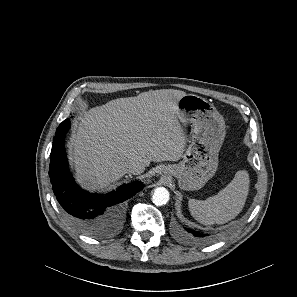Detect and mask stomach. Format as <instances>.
<instances>
[{
  "mask_svg": "<svg viewBox=\"0 0 297 297\" xmlns=\"http://www.w3.org/2000/svg\"><path fill=\"white\" fill-rule=\"evenodd\" d=\"M177 118L183 125L192 124L190 142L182 160L168 165L164 173L177 178L181 189L198 190L217 171L225 122L213 104L195 94H186L178 100Z\"/></svg>",
  "mask_w": 297,
  "mask_h": 297,
  "instance_id": "obj_1",
  "label": "stomach"
}]
</instances>
